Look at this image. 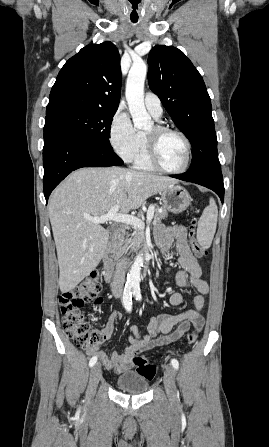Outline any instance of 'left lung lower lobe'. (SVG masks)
Instances as JSON below:
<instances>
[{
	"instance_id": "left-lung-lower-lobe-1",
	"label": "left lung lower lobe",
	"mask_w": 269,
	"mask_h": 447,
	"mask_svg": "<svg viewBox=\"0 0 269 447\" xmlns=\"http://www.w3.org/2000/svg\"><path fill=\"white\" fill-rule=\"evenodd\" d=\"M171 177L205 186L218 194L222 203L224 201V184L221 170L205 173L199 176H188L184 173L180 175H172Z\"/></svg>"
}]
</instances>
